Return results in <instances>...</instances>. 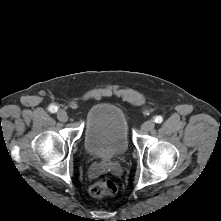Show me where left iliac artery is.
<instances>
[{"label": "left iliac artery", "mask_w": 221, "mask_h": 221, "mask_svg": "<svg viewBox=\"0 0 221 221\" xmlns=\"http://www.w3.org/2000/svg\"><path fill=\"white\" fill-rule=\"evenodd\" d=\"M162 121H163V117L162 116H156L154 118V122H156V123H161Z\"/></svg>", "instance_id": "obj_1"}]
</instances>
